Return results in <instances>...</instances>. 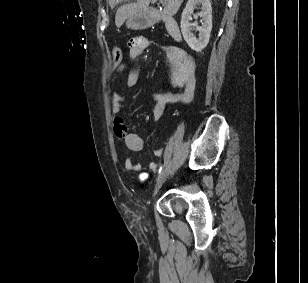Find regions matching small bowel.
I'll return each mask as SVG.
<instances>
[{"label": "small bowel", "mask_w": 308, "mask_h": 283, "mask_svg": "<svg viewBox=\"0 0 308 283\" xmlns=\"http://www.w3.org/2000/svg\"><path fill=\"white\" fill-rule=\"evenodd\" d=\"M149 45V40L144 37L132 38L128 43L130 57L133 59L141 57ZM164 49L170 65L168 82L173 90L157 92L153 95L155 99L152 113L154 121L161 118L169 104L189 102L193 98L195 89L194 64L191 58L178 47L167 46ZM125 69L124 65L116 66L111 76V82L116 83L118 74L125 72ZM138 81L139 71L131 70L127 75V86L135 87ZM123 101L124 96L122 94L114 93L112 95L111 110L115 116L114 133L117 137L124 140L129 150L139 152L144 148V141L141 136L129 131L125 120L121 116ZM161 155V149L155 151V156L160 157ZM156 166L155 162L149 163V169L151 170H154ZM125 167L130 171L142 169L141 165L135 163L131 158L126 159Z\"/></svg>", "instance_id": "c3829d8e"}]
</instances>
